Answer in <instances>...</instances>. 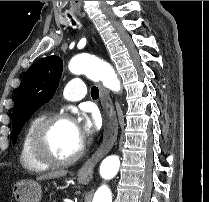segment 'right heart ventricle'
<instances>
[{"label": "right heart ventricle", "mask_w": 209, "mask_h": 202, "mask_svg": "<svg viewBox=\"0 0 209 202\" xmlns=\"http://www.w3.org/2000/svg\"><path fill=\"white\" fill-rule=\"evenodd\" d=\"M45 118L43 115L32 118L25 126L20 141L19 159L21 165L32 172H40L47 169L46 166L40 164L32 155L30 149L31 138L37 125Z\"/></svg>", "instance_id": "obj_1"}]
</instances>
